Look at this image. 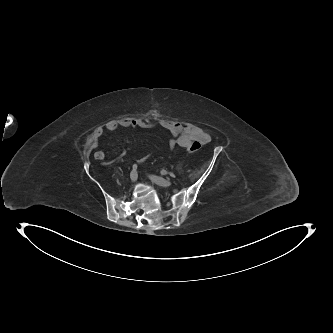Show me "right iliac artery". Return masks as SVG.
<instances>
[{"label":"right iliac artery","mask_w":333,"mask_h":333,"mask_svg":"<svg viewBox=\"0 0 333 333\" xmlns=\"http://www.w3.org/2000/svg\"><path fill=\"white\" fill-rule=\"evenodd\" d=\"M132 169H133L134 171H136V170H137V165L134 164V165L132 166Z\"/></svg>","instance_id":"82829eb1"}]
</instances>
